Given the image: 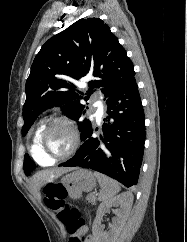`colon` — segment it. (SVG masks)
<instances>
[{
  "label": "colon",
  "instance_id": "colon-1",
  "mask_svg": "<svg viewBox=\"0 0 187 242\" xmlns=\"http://www.w3.org/2000/svg\"><path fill=\"white\" fill-rule=\"evenodd\" d=\"M44 203L68 232V242H85L79 232L84 225V219L76 208H71L65 201L67 191L60 183H49L44 189Z\"/></svg>",
  "mask_w": 187,
  "mask_h": 242
}]
</instances>
